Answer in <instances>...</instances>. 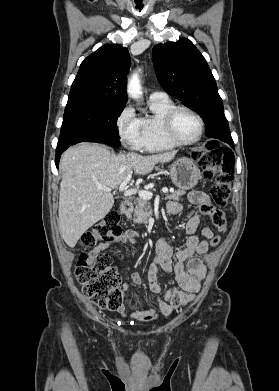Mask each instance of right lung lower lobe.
<instances>
[{"label": "right lung lower lobe", "mask_w": 279, "mask_h": 391, "mask_svg": "<svg viewBox=\"0 0 279 391\" xmlns=\"http://www.w3.org/2000/svg\"><path fill=\"white\" fill-rule=\"evenodd\" d=\"M90 142L107 143V144H111V145H114V146H120V141H119L118 137H114V136H110V135L102 136V137L93 139ZM68 147L69 146L57 147V149H56V158H55V164H56L57 167L59 166V159L61 157V154Z\"/></svg>", "instance_id": "obj_1"}]
</instances>
